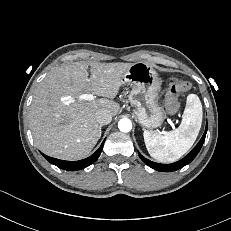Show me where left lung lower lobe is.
Segmentation results:
<instances>
[{
	"label": "left lung lower lobe",
	"instance_id": "obj_1",
	"mask_svg": "<svg viewBox=\"0 0 231 231\" xmlns=\"http://www.w3.org/2000/svg\"><path fill=\"white\" fill-rule=\"evenodd\" d=\"M206 133H207V127L205 129V132L201 138V140L198 142V144L193 148V150L188 154L186 155L183 159L175 162V163H172V164H160V163H155V162H152L148 159H146L145 157H143L140 153L139 156L141 158V160L146 164L148 165L149 167L157 170V171H160V172H171V171H175V170H178L182 167H184L185 165L189 164L195 157L196 155L198 154V152L200 151L203 143H204V140H205V137H206Z\"/></svg>",
	"mask_w": 231,
	"mask_h": 231
}]
</instances>
